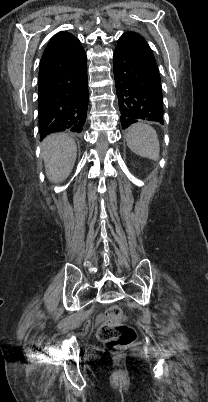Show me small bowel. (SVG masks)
Listing matches in <instances>:
<instances>
[{"mask_svg":"<svg viewBox=\"0 0 208 402\" xmlns=\"http://www.w3.org/2000/svg\"><path fill=\"white\" fill-rule=\"evenodd\" d=\"M96 321H100V318H96Z\"/></svg>","mask_w":208,"mask_h":402,"instance_id":"small-bowel-1","label":"small bowel"}]
</instances>
